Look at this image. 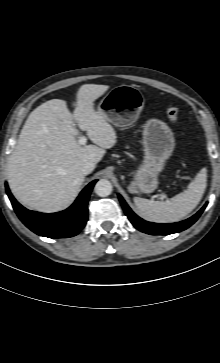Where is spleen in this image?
Returning a JSON list of instances; mask_svg holds the SVG:
<instances>
[{"instance_id":"obj_1","label":"spleen","mask_w":220,"mask_h":363,"mask_svg":"<svg viewBox=\"0 0 220 363\" xmlns=\"http://www.w3.org/2000/svg\"><path fill=\"white\" fill-rule=\"evenodd\" d=\"M206 169H202L188 185L185 192L167 201L135 197L134 203L140 216L155 223H174L191 213L202 199L206 189Z\"/></svg>"}]
</instances>
